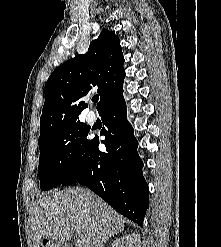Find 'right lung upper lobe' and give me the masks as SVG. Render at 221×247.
<instances>
[{"label": "right lung upper lobe", "instance_id": "cb5924a9", "mask_svg": "<svg viewBox=\"0 0 221 247\" xmlns=\"http://www.w3.org/2000/svg\"><path fill=\"white\" fill-rule=\"evenodd\" d=\"M124 57L114 31L104 29L90 43L88 52L77 55L54 70L45 85V103L40 119V137L80 121L87 107L82 98L97 91V110L123 93Z\"/></svg>", "mask_w": 221, "mask_h": 247}]
</instances>
